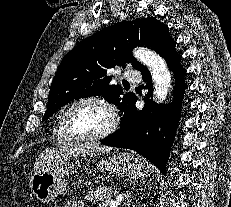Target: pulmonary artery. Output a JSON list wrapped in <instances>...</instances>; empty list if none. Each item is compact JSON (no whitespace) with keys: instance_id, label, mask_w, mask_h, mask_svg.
Wrapping results in <instances>:
<instances>
[{"instance_id":"pulmonary-artery-1","label":"pulmonary artery","mask_w":231,"mask_h":207,"mask_svg":"<svg viewBox=\"0 0 231 207\" xmlns=\"http://www.w3.org/2000/svg\"><path fill=\"white\" fill-rule=\"evenodd\" d=\"M123 75L130 82H138L140 80V73L136 70L126 69L123 71Z\"/></svg>"}]
</instances>
